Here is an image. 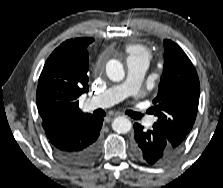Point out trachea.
Listing matches in <instances>:
<instances>
[{
    "label": "trachea",
    "mask_w": 223,
    "mask_h": 188,
    "mask_svg": "<svg viewBox=\"0 0 223 188\" xmlns=\"http://www.w3.org/2000/svg\"><path fill=\"white\" fill-rule=\"evenodd\" d=\"M96 115L97 116H105V112H103V111H97L96 112ZM128 115L131 116L133 119H136V120L142 118V116H143L142 114L137 113V112H133V111H129L128 112Z\"/></svg>",
    "instance_id": "3493384b"
}]
</instances>
